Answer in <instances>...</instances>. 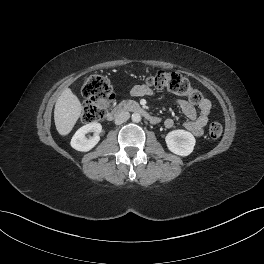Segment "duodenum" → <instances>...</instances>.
Returning <instances> with one entry per match:
<instances>
[{
  "mask_svg": "<svg viewBox=\"0 0 264 264\" xmlns=\"http://www.w3.org/2000/svg\"><path fill=\"white\" fill-rule=\"evenodd\" d=\"M125 112H133L140 114L145 119H147L149 122L155 124L159 122V118L150 114L143 106L140 104L134 102V101H123L120 104H118L116 107H114L108 114L107 119L109 121H112L116 119L118 116Z\"/></svg>",
  "mask_w": 264,
  "mask_h": 264,
  "instance_id": "duodenum-1",
  "label": "duodenum"
}]
</instances>
